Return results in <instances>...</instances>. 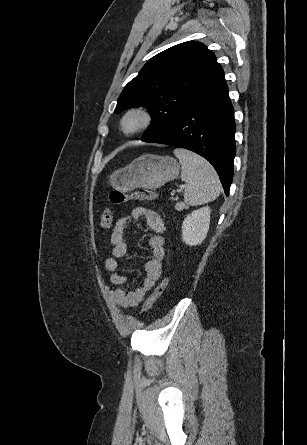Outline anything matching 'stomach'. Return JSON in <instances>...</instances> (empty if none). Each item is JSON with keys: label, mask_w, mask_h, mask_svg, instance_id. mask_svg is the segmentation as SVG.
<instances>
[{"label": "stomach", "mask_w": 307, "mask_h": 445, "mask_svg": "<svg viewBox=\"0 0 307 445\" xmlns=\"http://www.w3.org/2000/svg\"><path fill=\"white\" fill-rule=\"evenodd\" d=\"M180 162L172 156H158V154H141L127 166L114 170L109 176V184L117 190H133L145 188L156 190L168 180L177 178Z\"/></svg>", "instance_id": "stomach-1"}]
</instances>
